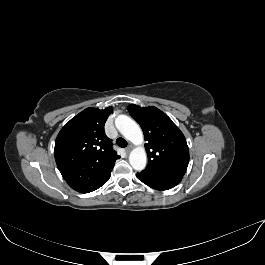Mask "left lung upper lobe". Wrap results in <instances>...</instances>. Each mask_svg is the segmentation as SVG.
I'll use <instances>...</instances> for the list:
<instances>
[{
	"instance_id": "1",
	"label": "left lung upper lobe",
	"mask_w": 265,
	"mask_h": 265,
	"mask_svg": "<svg viewBox=\"0 0 265 265\" xmlns=\"http://www.w3.org/2000/svg\"><path fill=\"white\" fill-rule=\"evenodd\" d=\"M128 111L141 126L148 155L144 172L183 177L189 163V149L183 133L156 107L128 106Z\"/></svg>"
}]
</instances>
